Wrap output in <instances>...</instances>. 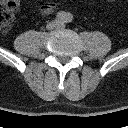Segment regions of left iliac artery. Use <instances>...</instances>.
<instances>
[{
    "label": "left iliac artery",
    "instance_id": "44dca946",
    "mask_svg": "<svg viewBox=\"0 0 128 128\" xmlns=\"http://www.w3.org/2000/svg\"><path fill=\"white\" fill-rule=\"evenodd\" d=\"M73 20L72 14L68 13L66 14L65 22L70 23Z\"/></svg>",
    "mask_w": 128,
    "mask_h": 128
}]
</instances>
